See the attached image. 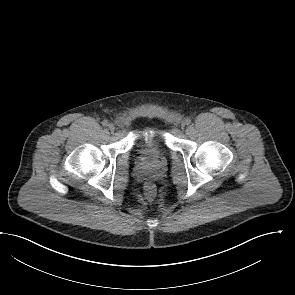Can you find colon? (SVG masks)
Returning a JSON list of instances; mask_svg holds the SVG:
<instances>
[{
    "mask_svg": "<svg viewBox=\"0 0 295 295\" xmlns=\"http://www.w3.org/2000/svg\"><path fill=\"white\" fill-rule=\"evenodd\" d=\"M144 189H145V194L149 198H152L156 193L155 185L152 182L146 183Z\"/></svg>",
    "mask_w": 295,
    "mask_h": 295,
    "instance_id": "colon-1",
    "label": "colon"
}]
</instances>
